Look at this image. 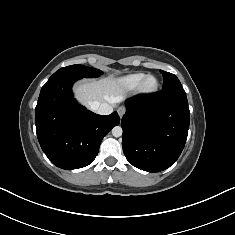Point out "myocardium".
Listing matches in <instances>:
<instances>
[{
    "mask_svg": "<svg viewBox=\"0 0 235 235\" xmlns=\"http://www.w3.org/2000/svg\"><path fill=\"white\" fill-rule=\"evenodd\" d=\"M150 81H152V84H149ZM158 86L159 81L154 75H146L138 89L141 93L148 94L155 92L158 89Z\"/></svg>",
    "mask_w": 235,
    "mask_h": 235,
    "instance_id": "f54148a6",
    "label": "myocardium"
}]
</instances>
